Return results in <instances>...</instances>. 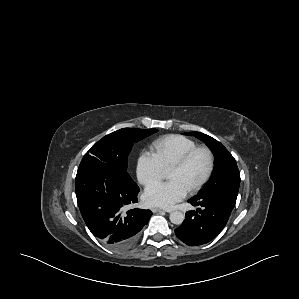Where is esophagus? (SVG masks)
Here are the masks:
<instances>
[{"label":"esophagus","instance_id":"esophagus-1","mask_svg":"<svg viewBox=\"0 0 299 299\" xmlns=\"http://www.w3.org/2000/svg\"><path fill=\"white\" fill-rule=\"evenodd\" d=\"M151 211H152L153 213H157V212H161V211H164V210H162V209H160V208L153 207V208H151ZM165 212H168V211H165Z\"/></svg>","mask_w":299,"mask_h":299}]
</instances>
